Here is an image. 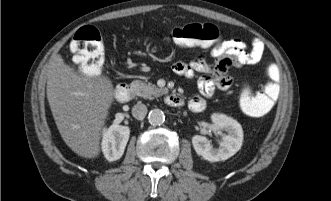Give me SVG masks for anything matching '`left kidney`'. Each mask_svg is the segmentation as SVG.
I'll use <instances>...</instances> for the list:
<instances>
[{
  "label": "left kidney",
  "instance_id": "1",
  "mask_svg": "<svg viewBox=\"0 0 331 201\" xmlns=\"http://www.w3.org/2000/svg\"><path fill=\"white\" fill-rule=\"evenodd\" d=\"M212 122L220 130H225L227 134L222 135L219 148H213L209 140L201 135L192 137V145L199 156L210 162L224 161L236 154L242 146L243 130L241 125L234 119L223 115L213 114Z\"/></svg>",
  "mask_w": 331,
  "mask_h": 201
}]
</instances>
